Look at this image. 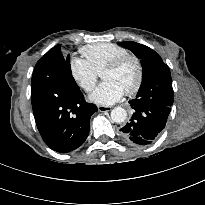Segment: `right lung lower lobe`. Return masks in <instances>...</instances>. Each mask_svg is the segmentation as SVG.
Masks as SVG:
<instances>
[{"mask_svg":"<svg viewBox=\"0 0 205 205\" xmlns=\"http://www.w3.org/2000/svg\"><path fill=\"white\" fill-rule=\"evenodd\" d=\"M31 102L37 128L52 150L70 152L84 143L97 107L86 103L72 77L69 55L63 58L60 45L35 65Z\"/></svg>","mask_w":205,"mask_h":205,"instance_id":"98d812e1","label":"right lung lower lobe"}]
</instances>
